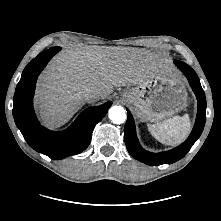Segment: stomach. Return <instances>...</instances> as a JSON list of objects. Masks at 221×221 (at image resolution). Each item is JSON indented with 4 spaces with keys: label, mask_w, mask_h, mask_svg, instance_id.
<instances>
[{
    "label": "stomach",
    "mask_w": 221,
    "mask_h": 221,
    "mask_svg": "<svg viewBox=\"0 0 221 221\" xmlns=\"http://www.w3.org/2000/svg\"><path fill=\"white\" fill-rule=\"evenodd\" d=\"M121 97L133 106L142 121L149 122L170 117L187 104L183 81L169 71L160 72L136 87L124 90Z\"/></svg>",
    "instance_id": "stomach-1"
}]
</instances>
